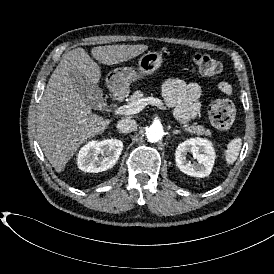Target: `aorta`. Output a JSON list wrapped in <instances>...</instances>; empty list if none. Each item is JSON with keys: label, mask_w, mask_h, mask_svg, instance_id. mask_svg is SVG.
<instances>
[{"label": "aorta", "mask_w": 274, "mask_h": 274, "mask_svg": "<svg viewBox=\"0 0 274 274\" xmlns=\"http://www.w3.org/2000/svg\"><path fill=\"white\" fill-rule=\"evenodd\" d=\"M164 135L163 127L159 123H153L146 130V136L149 142H158Z\"/></svg>", "instance_id": "1"}]
</instances>
